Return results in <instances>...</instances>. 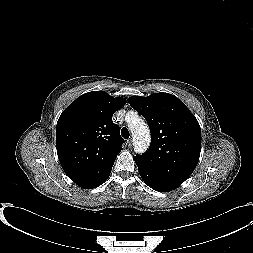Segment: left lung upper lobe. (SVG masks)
Instances as JSON below:
<instances>
[{"mask_svg": "<svg viewBox=\"0 0 253 253\" xmlns=\"http://www.w3.org/2000/svg\"><path fill=\"white\" fill-rule=\"evenodd\" d=\"M128 102L147 120L151 132L148 151L135 160L151 173L181 185L200 157L197 119L181 100L168 93L133 96Z\"/></svg>", "mask_w": 253, "mask_h": 253, "instance_id": "5c2ea615", "label": "left lung upper lobe"}]
</instances>
